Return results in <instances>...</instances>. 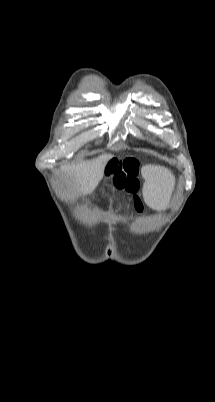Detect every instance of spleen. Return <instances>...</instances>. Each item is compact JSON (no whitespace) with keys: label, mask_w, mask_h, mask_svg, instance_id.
Segmentation results:
<instances>
[{"label":"spleen","mask_w":215,"mask_h":402,"mask_svg":"<svg viewBox=\"0 0 215 402\" xmlns=\"http://www.w3.org/2000/svg\"><path fill=\"white\" fill-rule=\"evenodd\" d=\"M142 175L146 180L144 195L145 202L148 204V209H167V202L161 201L160 197L169 195V190L167 189L171 183V179L168 174L164 169L146 166L142 168ZM157 186L159 187L157 188Z\"/></svg>","instance_id":"spleen-1"}]
</instances>
